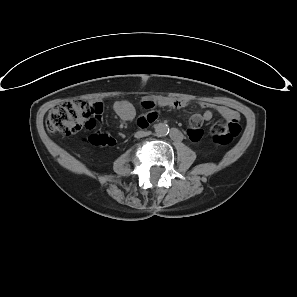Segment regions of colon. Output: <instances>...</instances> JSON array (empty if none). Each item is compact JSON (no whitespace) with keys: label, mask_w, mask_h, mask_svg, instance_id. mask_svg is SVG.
Instances as JSON below:
<instances>
[{"label":"colon","mask_w":297,"mask_h":297,"mask_svg":"<svg viewBox=\"0 0 297 297\" xmlns=\"http://www.w3.org/2000/svg\"><path fill=\"white\" fill-rule=\"evenodd\" d=\"M103 106L99 102L70 100L55 106L48 114L46 126L51 133L75 134L82 129H94L101 119ZM241 126L238 117L215 122L210 134L217 144L227 145L239 135ZM96 146H110L114 139L102 132H95L88 138Z\"/></svg>","instance_id":"5ec220e1"}]
</instances>
